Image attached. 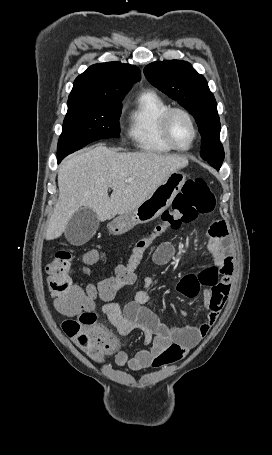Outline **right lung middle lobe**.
<instances>
[{"label": "right lung middle lobe", "mask_w": 272, "mask_h": 455, "mask_svg": "<svg viewBox=\"0 0 272 455\" xmlns=\"http://www.w3.org/2000/svg\"><path fill=\"white\" fill-rule=\"evenodd\" d=\"M122 104L105 106L68 105L58 142L57 157L68 154L101 138L119 137Z\"/></svg>", "instance_id": "1"}]
</instances>
